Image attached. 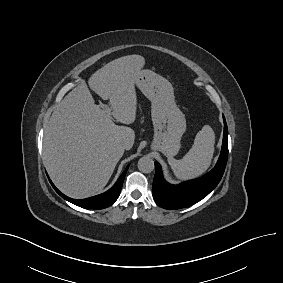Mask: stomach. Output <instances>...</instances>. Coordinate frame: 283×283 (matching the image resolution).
I'll use <instances>...</instances> for the list:
<instances>
[{
    "label": "stomach",
    "mask_w": 283,
    "mask_h": 283,
    "mask_svg": "<svg viewBox=\"0 0 283 283\" xmlns=\"http://www.w3.org/2000/svg\"><path fill=\"white\" fill-rule=\"evenodd\" d=\"M136 85L151 101V116L154 125L152 149L168 158L180 149V140L186 131L185 115L177 107L172 84L150 70H142Z\"/></svg>",
    "instance_id": "stomach-1"
}]
</instances>
